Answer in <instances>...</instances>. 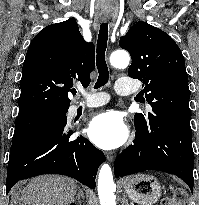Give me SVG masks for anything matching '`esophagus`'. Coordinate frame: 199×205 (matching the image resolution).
<instances>
[{"instance_id":"esophagus-1","label":"esophagus","mask_w":199,"mask_h":205,"mask_svg":"<svg viewBox=\"0 0 199 205\" xmlns=\"http://www.w3.org/2000/svg\"><path fill=\"white\" fill-rule=\"evenodd\" d=\"M102 20L105 22L107 18L103 17ZM105 156L109 162H113L115 160L116 154L115 152H105Z\"/></svg>"}]
</instances>
